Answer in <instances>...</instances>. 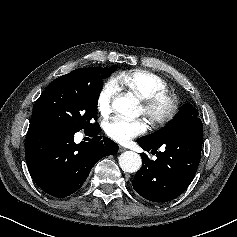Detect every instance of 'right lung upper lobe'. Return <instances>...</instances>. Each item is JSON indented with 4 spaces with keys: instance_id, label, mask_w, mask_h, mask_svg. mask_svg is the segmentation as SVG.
Masks as SVG:
<instances>
[{
    "instance_id": "cb5924a9",
    "label": "right lung upper lobe",
    "mask_w": 237,
    "mask_h": 237,
    "mask_svg": "<svg viewBox=\"0 0 237 237\" xmlns=\"http://www.w3.org/2000/svg\"><path fill=\"white\" fill-rule=\"evenodd\" d=\"M84 71H85V68H79V69H76V70H74L72 72H74V73H81V72H84ZM31 124H34V123L30 122V125Z\"/></svg>"
}]
</instances>
